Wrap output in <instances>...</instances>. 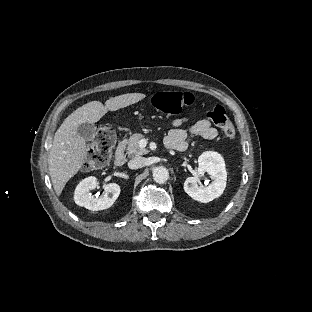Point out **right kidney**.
Masks as SVG:
<instances>
[{
  "label": "right kidney",
  "instance_id": "1",
  "mask_svg": "<svg viewBox=\"0 0 312 312\" xmlns=\"http://www.w3.org/2000/svg\"><path fill=\"white\" fill-rule=\"evenodd\" d=\"M96 186V177L90 176L83 179L75 189V203L92 211L111 207L120 194V186L116 183L106 184L104 185V193L100 197H94L90 191Z\"/></svg>",
  "mask_w": 312,
  "mask_h": 312
}]
</instances>
